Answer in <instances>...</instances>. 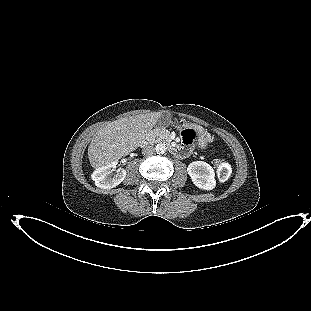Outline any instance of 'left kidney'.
<instances>
[{
  "label": "left kidney",
  "mask_w": 311,
  "mask_h": 311,
  "mask_svg": "<svg viewBox=\"0 0 311 311\" xmlns=\"http://www.w3.org/2000/svg\"><path fill=\"white\" fill-rule=\"evenodd\" d=\"M187 172L195 186L204 190H212L216 186L213 168L204 161H194L188 165Z\"/></svg>",
  "instance_id": "left-kidney-1"
}]
</instances>
